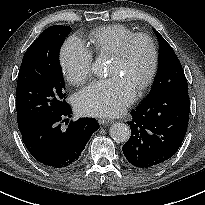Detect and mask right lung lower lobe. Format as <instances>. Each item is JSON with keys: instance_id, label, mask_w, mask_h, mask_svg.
Masks as SVG:
<instances>
[{"instance_id": "98d812e1", "label": "right lung lower lobe", "mask_w": 205, "mask_h": 205, "mask_svg": "<svg viewBox=\"0 0 205 205\" xmlns=\"http://www.w3.org/2000/svg\"><path fill=\"white\" fill-rule=\"evenodd\" d=\"M69 105L46 115L21 132L30 154L50 169H64L74 165L91 135L99 128L92 118L71 121L68 127L61 123L70 117Z\"/></svg>"}]
</instances>
